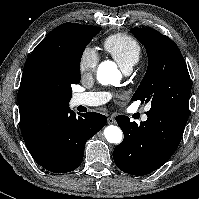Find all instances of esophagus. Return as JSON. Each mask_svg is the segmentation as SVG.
I'll return each mask as SVG.
<instances>
[{
  "label": "esophagus",
  "mask_w": 199,
  "mask_h": 199,
  "mask_svg": "<svg viewBox=\"0 0 199 199\" xmlns=\"http://www.w3.org/2000/svg\"><path fill=\"white\" fill-rule=\"evenodd\" d=\"M114 123H115V119L113 117H109L108 124H114Z\"/></svg>",
  "instance_id": "34e87169"
}]
</instances>
